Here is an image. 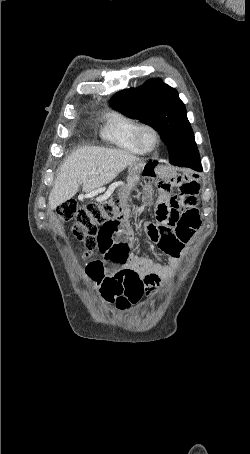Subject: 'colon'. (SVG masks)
<instances>
[{
    "label": "colon",
    "mask_w": 250,
    "mask_h": 454,
    "mask_svg": "<svg viewBox=\"0 0 250 454\" xmlns=\"http://www.w3.org/2000/svg\"><path fill=\"white\" fill-rule=\"evenodd\" d=\"M56 212L63 222L75 218L73 234L83 244L84 257H88L97 248V235L100 229L127 214L118 195H114L108 201L85 206H77L74 201L68 200L59 205Z\"/></svg>",
    "instance_id": "obj_1"
}]
</instances>
